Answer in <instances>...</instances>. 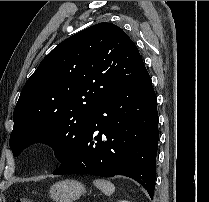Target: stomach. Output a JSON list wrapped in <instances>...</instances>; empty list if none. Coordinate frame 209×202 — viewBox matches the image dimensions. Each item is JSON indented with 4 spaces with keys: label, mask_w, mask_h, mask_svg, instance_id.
I'll return each mask as SVG.
<instances>
[{
    "label": "stomach",
    "mask_w": 209,
    "mask_h": 202,
    "mask_svg": "<svg viewBox=\"0 0 209 202\" xmlns=\"http://www.w3.org/2000/svg\"><path fill=\"white\" fill-rule=\"evenodd\" d=\"M86 192L82 183L67 179L53 184L49 189V195L55 202H73Z\"/></svg>",
    "instance_id": "0dacf381"
}]
</instances>
